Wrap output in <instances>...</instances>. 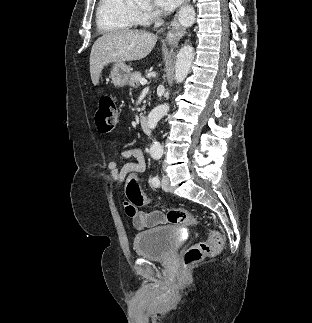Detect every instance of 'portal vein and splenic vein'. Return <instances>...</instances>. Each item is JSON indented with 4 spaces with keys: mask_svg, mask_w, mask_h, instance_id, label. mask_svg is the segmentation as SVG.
I'll list each match as a JSON object with an SVG mask.
<instances>
[{
    "mask_svg": "<svg viewBox=\"0 0 312 323\" xmlns=\"http://www.w3.org/2000/svg\"><path fill=\"white\" fill-rule=\"evenodd\" d=\"M140 84H142V86H145V84H147V80H144L143 78V80H140Z\"/></svg>",
    "mask_w": 312,
    "mask_h": 323,
    "instance_id": "1",
    "label": "portal vein and splenic vein"
}]
</instances>
